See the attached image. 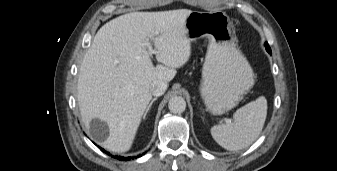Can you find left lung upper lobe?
Wrapping results in <instances>:
<instances>
[{
  "mask_svg": "<svg viewBox=\"0 0 337 171\" xmlns=\"http://www.w3.org/2000/svg\"><path fill=\"white\" fill-rule=\"evenodd\" d=\"M265 46H266V50H267L269 53H271V49H270V47H269V45H268L267 42L265 43Z\"/></svg>",
  "mask_w": 337,
  "mask_h": 171,
  "instance_id": "obj_1",
  "label": "left lung upper lobe"
}]
</instances>
